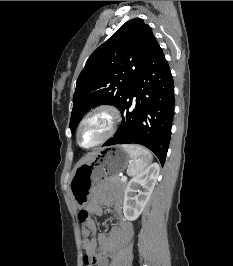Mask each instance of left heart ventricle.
Returning a JSON list of instances; mask_svg holds the SVG:
<instances>
[{
  "mask_svg": "<svg viewBox=\"0 0 233 266\" xmlns=\"http://www.w3.org/2000/svg\"><path fill=\"white\" fill-rule=\"evenodd\" d=\"M110 122L111 119L107 113H98L92 116L81 129L80 140L82 144L90 146L99 141L106 134Z\"/></svg>",
  "mask_w": 233,
  "mask_h": 266,
  "instance_id": "left-heart-ventricle-1",
  "label": "left heart ventricle"
}]
</instances>
